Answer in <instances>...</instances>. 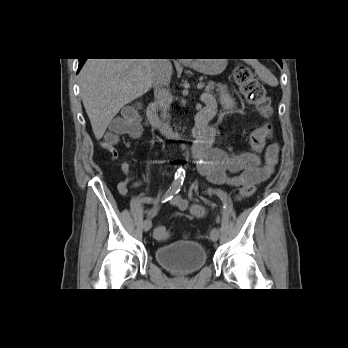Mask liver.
Segmentation results:
<instances>
[{
	"mask_svg": "<svg viewBox=\"0 0 348 348\" xmlns=\"http://www.w3.org/2000/svg\"><path fill=\"white\" fill-rule=\"evenodd\" d=\"M152 66L153 59L86 61L79 74L80 94L96 139L103 137L122 107L151 89Z\"/></svg>",
	"mask_w": 348,
	"mask_h": 348,
	"instance_id": "obj_1",
	"label": "liver"
}]
</instances>
